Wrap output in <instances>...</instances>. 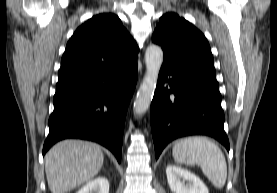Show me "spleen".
Returning a JSON list of instances; mask_svg holds the SVG:
<instances>
[{
    "mask_svg": "<svg viewBox=\"0 0 277 193\" xmlns=\"http://www.w3.org/2000/svg\"><path fill=\"white\" fill-rule=\"evenodd\" d=\"M177 163L199 165L212 184L222 189L227 178V164L221 149L211 140L192 136L175 142L172 150Z\"/></svg>",
    "mask_w": 277,
    "mask_h": 193,
    "instance_id": "3e777b00",
    "label": "spleen"
}]
</instances>
